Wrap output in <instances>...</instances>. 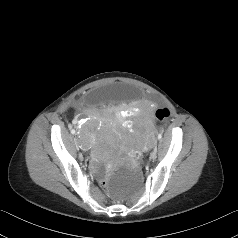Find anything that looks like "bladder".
<instances>
[{"mask_svg": "<svg viewBox=\"0 0 238 238\" xmlns=\"http://www.w3.org/2000/svg\"><path fill=\"white\" fill-rule=\"evenodd\" d=\"M141 98L142 93L139 89L132 88L129 85L113 83L110 86H103L88 92L85 96V101L88 105L95 106L107 101L113 104H119L125 100L137 103Z\"/></svg>", "mask_w": 238, "mask_h": 238, "instance_id": "bladder-1", "label": "bladder"}]
</instances>
